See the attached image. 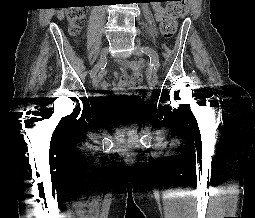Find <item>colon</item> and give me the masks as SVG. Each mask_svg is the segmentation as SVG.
<instances>
[{
    "mask_svg": "<svg viewBox=\"0 0 255 218\" xmlns=\"http://www.w3.org/2000/svg\"><path fill=\"white\" fill-rule=\"evenodd\" d=\"M185 0H170L166 9V16L161 23V32L165 38H170L176 31L177 19L180 16ZM70 32L74 35L80 33L85 26L87 9L85 7H72L67 11ZM144 90V89H143Z\"/></svg>",
    "mask_w": 255,
    "mask_h": 218,
    "instance_id": "1",
    "label": "colon"
}]
</instances>
